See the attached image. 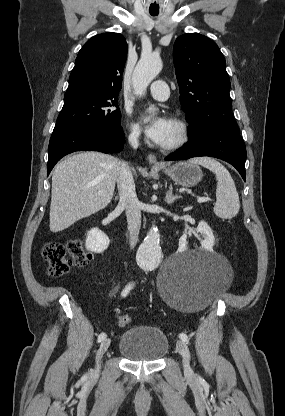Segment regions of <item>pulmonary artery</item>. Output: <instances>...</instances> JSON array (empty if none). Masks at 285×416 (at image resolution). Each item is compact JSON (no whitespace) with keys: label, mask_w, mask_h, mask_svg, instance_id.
<instances>
[{"label":"pulmonary artery","mask_w":285,"mask_h":416,"mask_svg":"<svg viewBox=\"0 0 285 416\" xmlns=\"http://www.w3.org/2000/svg\"><path fill=\"white\" fill-rule=\"evenodd\" d=\"M165 86H167V83L163 80H156L150 85V92L157 102L168 101L170 89Z\"/></svg>","instance_id":"obj_1"}]
</instances>
